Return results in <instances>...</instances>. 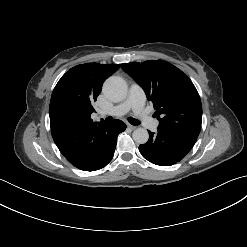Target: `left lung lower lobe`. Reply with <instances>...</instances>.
Listing matches in <instances>:
<instances>
[{"label": "left lung lower lobe", "instance_id": "left-lung-lower-lobe-1", "mask_svg": "<svg viewBox=\"0 0 247 247\" xmlns=\"http://www.w3.org/2000/svg\"><path fill=\"white\" fill-rule=\"evenodd\" d=\"M197 135L166 128L149 131L147 143L139 146L142 156L153 164L171 166L182 160L194 146Z\"/></svg>", "mask_w": 247, "mask_h": 247}]
</instances>
